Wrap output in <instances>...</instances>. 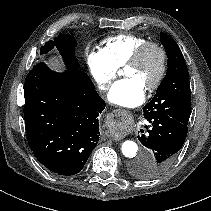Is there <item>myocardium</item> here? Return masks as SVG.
Returning a JSON list of instances; mask_svg holds the SVG:
<instances>
[{
  "mask_svg": "<svg viewBox=\"0 0 211 211\" xmlns=\"http://www.w3.org/2000/svg\"><path fill=\"white\" fill-rule=\"evenodd\" d=\"M149 50H156L159 53L160 56V68L159 72L157 74V77L151 83L146 89L149 92L155 91L160 87L162 84L168 68V55L166 52V49L158 42L155 41H146L143 44H141L134 53L130 56V58L126 61L124 64L125 67L130 65H136L140 62V60L143 58V56L149 51Z\"/></svg>",
  "mask_w": 211,
  "mask_h": 211,
  "instance_id": "myocardium-1",
  "label": "myocardium"
}]
</instances>
